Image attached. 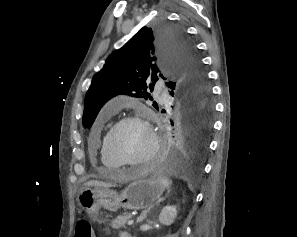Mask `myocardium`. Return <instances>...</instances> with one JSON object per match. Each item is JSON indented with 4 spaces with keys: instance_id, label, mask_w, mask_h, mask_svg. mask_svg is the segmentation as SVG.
Listing matches in <instances>:
<instances>
[{
    "instance_id": "f54148a6",
    "label": "myocardium",
    "mask_w": 297,
    "mask_h": 237,
    "mask_svg": "<svg viewBox=\"0 0 297 237\" xmlns=\"http://www.w3.org/2000/svg\"><path fill=\"white\" fill-rule=\"evenodd\" d=\"M129 122H135V123L142 124L148 131V134L151 139V148H150V151L148 152V154L145 157H143L139 160H135V161L123 159L117 153V151L114 149V147L112 145V136L115 133V131L122 125L129 123ZM105 142H106V147H107L109 154L121 166H133V165L147 164L156 158V156L159 153V149H160V141H159V136L157 134V131L155 130L154 126L152 125L149 117L146 116L145 114H130V115H126V116H123L120 119H118L113 124V126L109 129V131L107 132V134L105 136Z\"/></svg>"
}]
</instances>
